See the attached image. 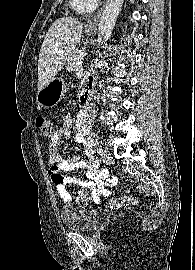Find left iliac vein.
<instances>
[{"label":"left iliac vein","instance_id":"4c4485c4","mask_svg":"<svg viewBox=\"0 0 195 270\" xmlns=\"http://www.w3.org/2000/svg\"><path fill=\"white\" fill-rule=\"evenodd\" d=\"M111 159H112L111 154L107 150H104L102 152V160H103V162L108 164V163L111 162Z\"/></svg>","mask_w":195,"mask_h":270}]
</instances>
